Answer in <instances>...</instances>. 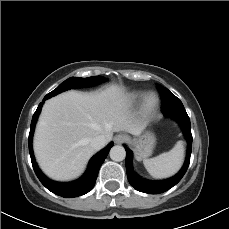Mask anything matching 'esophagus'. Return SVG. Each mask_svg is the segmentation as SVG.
I'll use <instances>...</instances> for the list:
<instances>
[{"label":"esophagus","mask_w":229,"mask_h":229,"mask_svg":"<svg viewBox=\"0 0 229 229\" xmlns=\"http://www.w3.org/2000/svg\"><path fill=\"white\" fill-rule=\"evenodd\" d=\"M128 139V137L125 135V134H118L116 137H115V142L117 144H122L124 142H126Z\"/></svg>","instance_id":"34e87169"}]
</instances>
